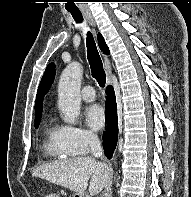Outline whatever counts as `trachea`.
I'll return each mask as SVG.
<instances>
[{
  "instance_id": "3493384b",
  "label": "trachea",
  "mask_w": 191,
  "mask_h": 197,
  "mask_svg": "<svg viewBox=\"0 0 191 197\" xmlns=\"http://www.w3.org/2000/svg\"><path fill=\"white\" fill-rule=\"evenodd\" d=\"M71 15L73 16L74 20L77 23L82 22L83 17L80 12H71ZM86 44H87V56H88V61L90 64L92 76L97 80L100 87H104L106 83V75L103 69V63L99 55V52L97 50V46L94 41V38L90 32L87 33Z\"/></svg>"
}]
</instances>
